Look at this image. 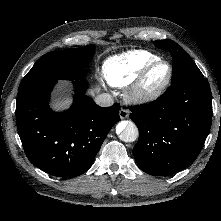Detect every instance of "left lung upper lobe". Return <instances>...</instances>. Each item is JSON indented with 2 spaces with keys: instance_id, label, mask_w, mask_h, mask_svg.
I'll use <instances>...</instances> for the list:
<instances>
[{
  "instance_id": "1",
  "label": "left lung upper lobe",
  "mask_w": 221,
  "mask_h": 221,
  "mask_svg": "<svg viewBox=\"0 0 221 221\" xmlns=\"http://www.w3.org/2000/svg\"><path fill=\"white\" fill-rule=\"evenodd\" d=\"M160 49L168 50L173 58L171 84L187 79H204L203 74L183 48L172 40L154 41Z\"/></svg>"
}]
</instances>
